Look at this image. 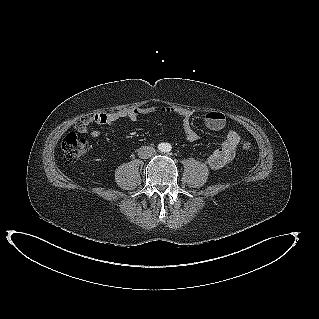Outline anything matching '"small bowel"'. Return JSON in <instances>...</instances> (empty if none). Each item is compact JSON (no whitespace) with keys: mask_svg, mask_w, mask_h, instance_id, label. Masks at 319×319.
Returning a JSON list of instances; mask_svg holds the SVG:
<instances>
[{"mask_svg":"<svg viewBox=\"0 0 319 319\" xmlns=\"http://www.w3.org/2000/svg\"><path fill=\"white\" fill-rule=\"evenodd\" d=\"M149 114H165L181 117L185 138L190 142L198 140L199 135L191 126L192 112L188 109L170 106L137 107L115 112L95 113L87 116L86 122L80 120L75 128L80 133L89 132L92 138L97 139L100 137V132L97 129L89 130L91 124L111 125L124 120L136 121L140 116ZM204 123L212 131H221L225 128L226 118L222 112L210 111L205 115ZM239 141L240 135L236 130H227L221 146L210 152L207 156V163L210 168L220 169L230 163L235 155Z\"/></svg>","mask_w":319,"mask_h":319,"instance_id":"small-bowel-1","label":"small bowel"}]
</instances>
